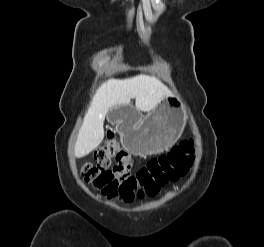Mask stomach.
Here are the masks:
<instances>
[{
  "instance_id": "0dacf381",
  "label": "stomach",
  "mask_w": 264,
  "mask_h": 247,
  "mask_svg": "<svg viewBox=\"0 0 264 247\" xmlns=\"http://www.w3.org/2000/svg\"><path fill=\"white\" fill-rule=\"evenodd\" d=\"M148 115H135L127 105H116L109 110L110 123L121 127V139L128 151L149 155L159 153L178 139L183 110L178 98L159 101Z\"/></svg>"
}]
</instances>
